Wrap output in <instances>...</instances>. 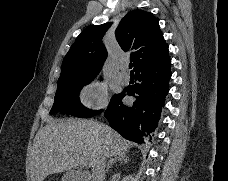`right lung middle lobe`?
Here are the masks:
<instances>
[{"mask_svg": "<svg viewBox=\"0 0 228 181\" xmlns=\"http://www.w3.org/2000/svg\"><path fill=\"white\" fill-rule=\"evenodd\" d=\"M92 80L93 79L70 81L58 84L54 104L50 114L61 112L79 118H90L100 114L102 110H90L84 107L79 100V91ZM118 96L119 94L114 95L110 104L115 101Z\"/></svg>", "mask_w": 228, "mask_h": 181, "instance_id": "dd1d6c3e", "label": "right lung middle lobe"}]
</instances>
